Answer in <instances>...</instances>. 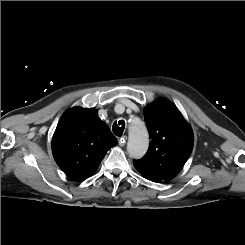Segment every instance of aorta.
Masks as SVG:
<instances>
[{"label": "aorta", "mask_w": 245, "mask_h": 245, "mask_svg": "<svg viewBox=\"0 0 245 245\" xmlns=\"http://www.w3.org/2000/svg\"><path fill=\"white\" fill-rule=\"evenodd\" d=\"M149 146L146 126L139 118H134L128 129L127 151L130 157L139 159L145 155Z\"/></svg>", "instance_id": "obj_1"}]
</instances>
